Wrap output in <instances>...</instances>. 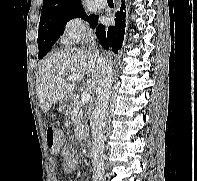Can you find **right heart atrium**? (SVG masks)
I'll use <instances>...</instances> for the list:
<instances>
[{"label":"right heart atrium","mask_w":197,"mask_h":181,"mask_svg":"<svg viewBox=\"0 0 197 181\" xmlns=\"http://www.w3.org/2000/svg\"><path fill=\"white\" fill-rule=\"evenodd\" d=\"M88 36V29L80 17L69 18L63 26V40L70 44H76Z\"/></svg>","instance_id":"1"}]
</instances>
